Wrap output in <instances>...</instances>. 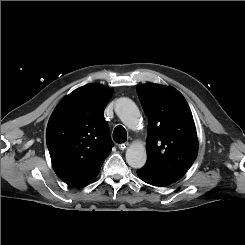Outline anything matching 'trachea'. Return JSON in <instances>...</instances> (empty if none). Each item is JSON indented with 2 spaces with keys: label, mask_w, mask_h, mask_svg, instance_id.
I'll return each mask as SVG.
<instances>
[{
  "label": "trachea",
  "mask_w": 245,
  "mask_h": 245,
  "mask_svg": "<svg viewBox=\"0 0 245 245\" xmlns=\"http://www.w3.org/2000/svg\"><path fill=\"white\" fill-rule=\"evenodd\" d=\"M113 139L117 143H124L127 140V132L123 126L119 125L114 129Z\"/></svg>",
  "instance_id": "3493384b"
}]
</instances>
